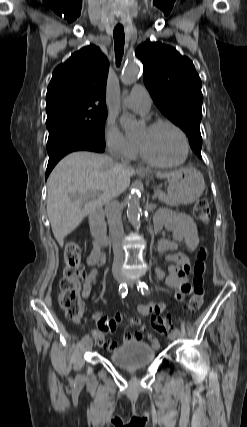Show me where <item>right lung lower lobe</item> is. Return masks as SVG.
Here are the masks:
<instances>
[{"instance_id":"1","label":"right lung lower lobe","mask_w":247,"mask_h":427,"mask_svg":"<svg viewBox=\"0 0 247 427\" xmlns=\"http://www.w3.org/2000/svg\"><path fill=\"white\" fill-rule=\"evenodd\" d=\"M105 146L73 132L65 130H54L49 132L47 151L49 161L46 170V178L57 162L66 154L73 151L104 152Z\"/></svg>"}]
</instances>
